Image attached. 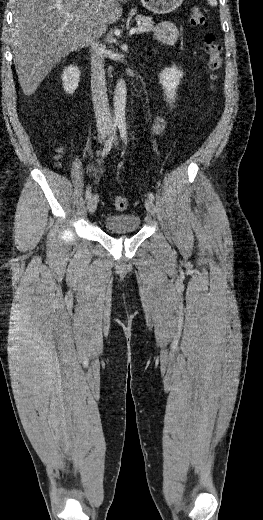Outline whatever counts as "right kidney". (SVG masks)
<instances>
[{"mask_svg": "<svg viewBox=\"0 0 263 520\" xmlns=\"http://www.w3.org/2000/svg\"><path fill=\"white\" fill-rule=\"evenodd\" d=\"M80 80V71L78 67L68 66L62 74L63 88L68 94H72L78 88Z\"/></svg>", "mask_w": 263, "mask_h": 520, "instance_id": "obj_1", "label": "right kidney"}]
</instances>
